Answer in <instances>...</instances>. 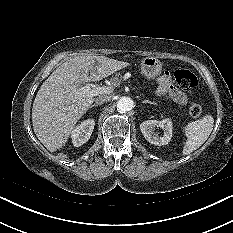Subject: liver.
<instances>
[{"mask_svg": "<svg viewBox=\"0 0 233 233\" xmlns=\"http://www.w3.org/2000/svg\"><path fill=\"white\" fill-rule=\"evenodd\" d=\"M128 65L106 56L82 55L54 70L41 85L32 108L33 129L40 142L50 152L62 148L95 100L79 93L82 83L100 81Z\"/></svg>", "mask_w": 233, "mask_h": 233, "instance_id": "obj_1", "label": "liver"}]
</instances>
